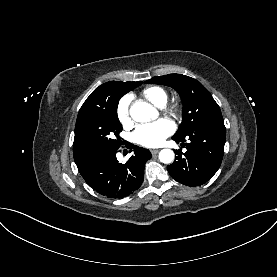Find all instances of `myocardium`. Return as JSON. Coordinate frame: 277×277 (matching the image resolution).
Segmentation results:
<instances>
[{
  "instance_id": "f54148a6",
  "label": "myocardium",
  "mask_w": 277,
  "mask_h": 277,
  "mask_svg": "<svg viewBox=\"0 0 277 277\" xmlns=\"http://www.w3.org/2000/svg\"><path fill=\"white\" fill-rule=\"evenodd\" d=\"M179 106L177 104L170 105L165 108V112L171 117H177L179 114Z\"/></svg>"
}]
</instances>
